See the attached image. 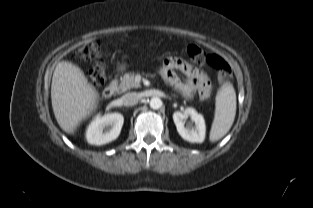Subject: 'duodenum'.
<instances>
[{"label": "duodenum", "mask_w": 313, "mask_h": 208, "mask_svg": "<svg viewBox=\"0 0 313 208\" xmlns=\"http://www.w3.org/2000/svg\"><path fill=\"white\" fill-rule=\"evenodd\" d=\"M117 84L116 83H110L109 85H107L102 92V96L105 99H109L112 97V95L114 94L115 90H116Z\"/></svg>", "instance_id": "410a0bca"}]
</instances>
